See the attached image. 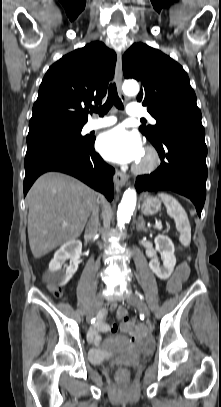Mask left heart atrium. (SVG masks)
<instances>
[{
    "mask_svg": "<svg viewBox=\"0 0 221 407\" xmlns=\"http://www.w3.org/2000/svg\"><path fill=\"white\" fill-rule=\"evenodd\" d=\"M97 150L109 161L130 163L140 159L142 144L135 132L118 126L100 135L97 140Z\"/></svg>",
    "mask_w": 221,
    "mask_h": 407,
    "instance_id": "obj_1",
    "label": "left heart atrium"
}]
</instances>
